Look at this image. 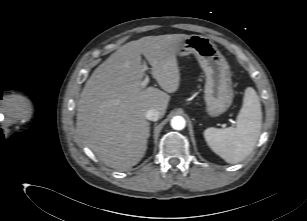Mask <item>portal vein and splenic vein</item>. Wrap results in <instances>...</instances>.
Here are the masks:
<instances>
[{
  "label": "portal vein and splenic vein",
  "instance_id": "18ae733b",
  "mask_svg": "<svg viewBox=\"0 0 307 221\" xmlns=\"http://www.w3.org/2000/svg\"><path fill=\"white\" fill-rule=\"evenodd\" d=\"M144 68L147 69L146 66H144ZM148 82H149V77L146 76L145 79L141 82V88H145Z\"/></svg>",
  "mask_w": 307,
  "mask_h": 221
}]
</instances>
